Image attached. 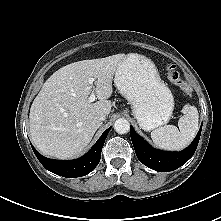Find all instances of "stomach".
Masks as SVG:
<instances>
[{
  "instance_id": "stomach-1",
  "label": "stomach",
  "mask_w": 221,
  "mask_h": 221,
  "mask_svg": "<svg viewBox=\"0 0 221 221\" xmlns=\"http://www.w3.org/2000/svg\"><path fill=\"white\" fill-rule=\"evenodd\" d=\"M114 83L130 103L143 130L150 131L169 122L174 98L151 59L135 53L125 55L115 72Z\"/></svg>"
}]
</instances>
